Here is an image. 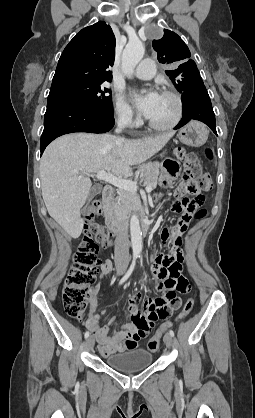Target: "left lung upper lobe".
Returning <instances> with one entry per match:
<instances>
[{
    "instance_id": "obj_1",
    "label": "left lung upper lobe",
    "mask_w": 255,
    "mask_h": 418,
    "mask_svg": "<svg viewBox=\"0 0 255 418\" xmlns=\"http://www.w3.org/2000/svg\"><path fill=\"white\" fill-rule=\"evenodd\" d=\"M154 50L160 63L172 66L165 73L177 90L184 93L204 84L196 63L190 59V51L184 41L174 32L164 29L161 39L153 40Z\"/></svg>"
}]
</instances>
